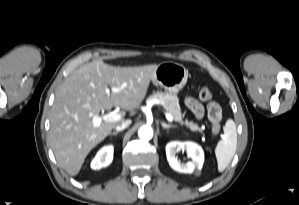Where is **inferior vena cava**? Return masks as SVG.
<instances>
[{"label":"inferior vena cava","mask_w":299,"mask_h":205,"mask_svg":"<svg viewBox=\"0 0 299 205\" xmlns=\"http://www.w3.org/2000/svg\"><path fill=\"white\" fill-rule=\"evenodd\" d=\"M131 124V120H125L121 124L115 126L116 131H122Z\"/></svg>","instance_id":"602c4592"}]
</instances>
